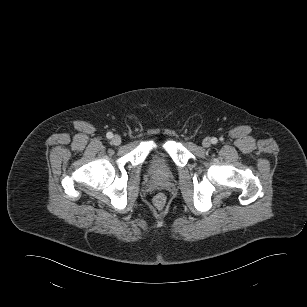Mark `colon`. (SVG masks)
<instances>
[{"mask_svg":"<svg viewBox=\"0 0 307 307\" xmlns=\"http://www.w3.org/2000/svg\"><path fill=\"white\" fill-rule=\"evenodd\" d=\"M155 203L158 206H162L165 203V196L163 194H158L155 197Z\"/></svg>","mask_w":307,"mask_h":307,"instance_id":"1","label":"colon"}]
</instances>
